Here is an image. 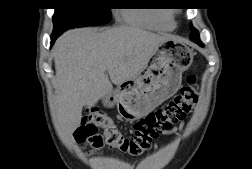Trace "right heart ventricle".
<instances>
[{"label": "right heart ventricle", "mask_w": 252, "mask_h": 169, "mask_svg": "<svg viewBox=\"0 0 252 169\" xmlns=\"http://www.w3.org/2000/svg\"><path fill=\"white\" fill-rule=\"evenodd\" d=\"M121 15L127 22L137 27L157 30H172L175 27L172 16L164 12L126 9L122 10Z\"/></svg>", "instance_id": "obj_1"}]
</instances>
